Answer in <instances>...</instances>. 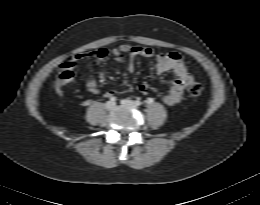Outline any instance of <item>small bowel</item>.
Listing matches in <instances>:
<instances>
[{"label":"small bowel","mask_w":260,"mask_h":205,"mask_svg":"<svg viewBox=\"0 0 260 205\" xmlns=\"http://www.w3.org/2000/svg\"><path fill=\"white\" fill-rule=\"evenodd\" d=\"M111 55L116 61H121L123 54L129 55L128 71L133 72L135 69V58L138 56L155 59V71L162 74L168 71L173 72L175 79L173 80L168 92L164 95L163 101L166 105L172 106L177 104L183 95L185 88L192 82L193 78L185 67L182 57L177 52L155 53L151 48L145 46H135L131 44H121L108 52L105 49L98 50L99 58H106ZM81 56L77 55L60 66L56 77L53 80V88L57 95H64V87L76 79L79 70V60ZM85 85L87 90L92 94H98L99 88L91 77H85ZM139 92L145 94L147 87L140 85ZM107 96L114 94L108 91Z\"/></svg>","instance_id":"obj_1"}]
</instances>
